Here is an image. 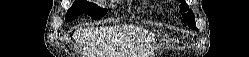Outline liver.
<instances>
[{
	"label": "liver",
	"mask_w": 249,
	"mask_h": 57,
	"mask_svg": "<svg viewBox=\"0 0 249 57\" xmlns=\"http://www.w3.org/2000/svg\"><path fill=\"white\" fill-rule=\"evenodd\" d=\"M146 31L131 26L87 27L77 32V41L85 44V57H125L126 48L132 46L131 35ZM141 34V35H142ZM120 51H117V50Z\"/></svg>",
	"instance_id": "6515ba94"
}]
</instances>
